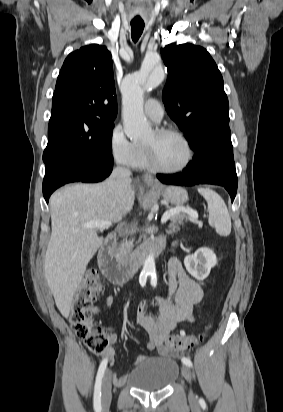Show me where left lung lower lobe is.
Masks as SVG:
<instances>
[{
  "mask_svg": "<svg viewBox=\"0 0 283 412\" xmlns=\"http://www.w3.org/2000/svg\"><path fill=\"white\" fill-rule=\"evenodd\" d=\"M193 159L183 172L172 175L158 174L157 178L165 184L172 185H220L229 192L233 202L237 184L231 174L230 160L201 149L194 155Z\"/></svg>",
  "mask_w": 283,
  "mask_h": 412,
  "instance_id": "0a47b994",
  "label": "left lung lower lobe"
}]
</instances>
